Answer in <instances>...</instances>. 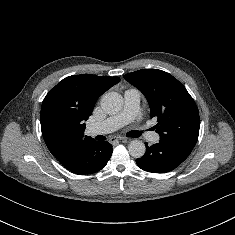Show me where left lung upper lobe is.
<instances>
[{
	"label": "left lung upper lobe",
	"instance_id": "left-lung-upper-lobe-1",
	"mask_svg": "<svg viewBox=\"0 0 235 235\" xmlns=\"http://www.w3.org/2000/svg\"><path fill=\"white\" fill-rule=\"evenodd\" d=\"M146 97L161 140L194 147L200 128L198 108L184 85L171 74L141 69L124 75Z\"/></svg>",
	"mask_w": 235,
	"mask_h": 235
}]
</instances>
